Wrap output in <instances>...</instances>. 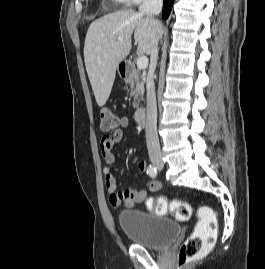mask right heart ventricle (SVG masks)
<instances>
[{
    "label": "right heart ventricle",
    "mask_w": 265,
    "mask_h": 269,
    "mask_svg": "<svg viewBox=\"0 0 265 269\" xmlns=\"http://www.w3.org/2000/svg\"><path fill=\"white\" fill-rule=\"evenodd\" d=\"M117 2H121L120 0H116ZM122 3V2H121Z\"/></svg>",
    "instance_id": "obj_1"
}]
</instances>
